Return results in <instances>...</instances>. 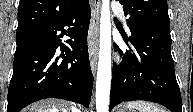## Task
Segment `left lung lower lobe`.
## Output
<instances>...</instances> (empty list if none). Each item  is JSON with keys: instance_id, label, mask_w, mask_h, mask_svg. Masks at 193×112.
Listing matches in <instances>:
<instances>
[{"instance_id": "0a47b994", "label": "left lung lower lobe", "mask_w": 193, "mask_h": 112, "mask_svg": "<svg viewBox=\"0 0 193 112\" xmlns=\"http://www.w3.org/2000/svg\"><path fill=\"white\" fill-rule=\"evenodd\" d=\"M129 41L136 49L125 54L114 44L122 61L113 65L110 107L124 101L159 103L171 112H182L180 89L171 56L169 20H156L129 27Z\"/></svg>"}]
</instances>
